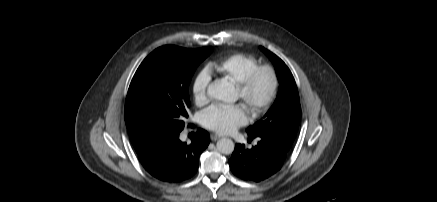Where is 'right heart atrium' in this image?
<instances>
[{
	"label": "right heart atrium",
	"mask_w": 437,
	"mask_h": 202,
	"mask_svg": "<svg viewBox=\"0 0 437 202\" xmlns=\"http://www.w3.org/2000/svg\"><path fill=\"white\" fill-rule=\"evenodd\" d=\"M211 81V76L207 69H202L197 73L192 84V93L197 104H203L207 101V91Z\"/></svg>",
	"instance_id": "right-heart-atrium-1"
}]
</instances>
